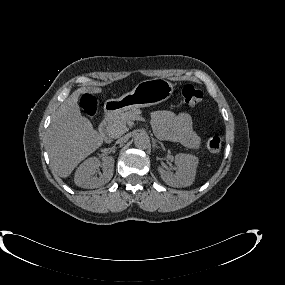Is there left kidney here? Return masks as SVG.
Returning <instances> with one entry per match:
<instances>
[{
	"instance_id": "5707ae66",
	"label": "left kidney",
	"mask_w": 285,
	"mask_h": 285,
	"mask_svg": "<svg viewBox=\"0 0 285 285\" xmlns=\"http://www.w3.org/2000/svg\"><path fill=\"white\" fill-rule=\"evenodd\" d=\"M175 163L178 168L176 174L159 168L162 180L172 187L190 186L195 179L198 158L191 154L179 153L175 156Z\"/></svg>"
}]
</instances>
